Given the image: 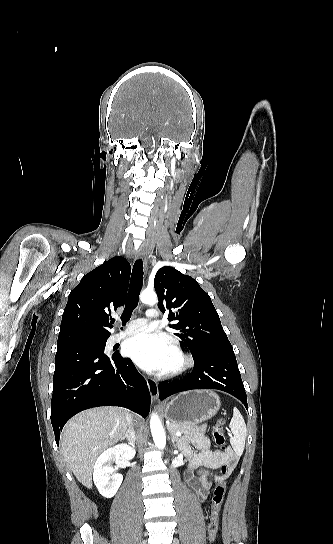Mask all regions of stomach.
<instances>
[{
	"label": "stomach",
	"instance_id": "0dacf381",
	"mask_svg": "<svg viewBox=\"0 0 333 544\" xmlns=\"http://www.w3.org/2000/svg\"><path fill=\"white\" fill-rule=\"evenodd\" d=\"M219 408L220 398L215 392L197 390L179 394L166 404L164 412L171 422L195 426L212 418Z\"/></svg>",
	"mask_w": 333,
	"mask_h": 544
}]
</instances>
